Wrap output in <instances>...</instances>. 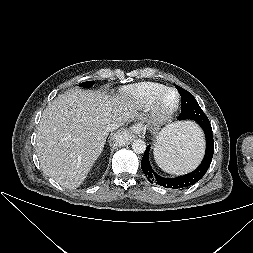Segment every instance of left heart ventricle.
Listing matches in <instances>:
<instances>
[{"label": "left heart ventricle", "mask_w": 253, "mask_h": 253, "mask_svg": "<svg viewBox=\"0 0 253 253\" xmlns=\"http://www.w3.org/2000/svg\"><path fill=\"white\" fill-rule=\"evenodd\" d=\"M177 95L174 91H169L166 93L163 99V106L166 108H170L176 103Z\"/></svg>", "instance_id": "1"}]
</instances>
